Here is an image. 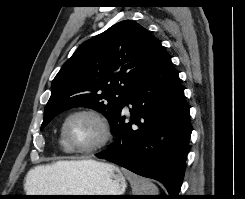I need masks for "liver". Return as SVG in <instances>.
<instances>
[{"label": "liver", "instance_id": "liver-1", "mask_svg": "<svg viewBox=\"0 0 245 199\" xmlns=\"http://www.w3.org/2000/svg\"><path fill=\"white\" fill-rule=\"evenodd\" d=\"M94 160L58 161L50 165H40L31 169L26 177V188L45 193L67 191L66 181L73 171Z\"/></svg>", "mask_w": 245, "mask_h": 199}]
</instances>
